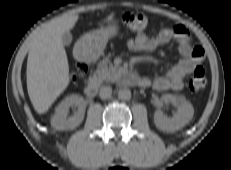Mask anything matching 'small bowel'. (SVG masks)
<instances>
[{"label":"small bowel","instance_id":"1","mask_svg":"<svg viewBox=\"0 0 231 170\" xmlns=\"http://www.w3.org/2000/svg\"><path fill=\"white\" fill-rule=\"evenodd\" d=\"M172 40L178 43L181 60L166 73L153 80L148 77L142 78L140 84L152 86L158 91L181 90L184 86V78L203 62V48L192 45L189 31L181 24L162 29L158 33L140 34L130 39L127 46L135 52H151Z\"/></svg>","mask_w":231,"mask_h":170}]
</instances>
